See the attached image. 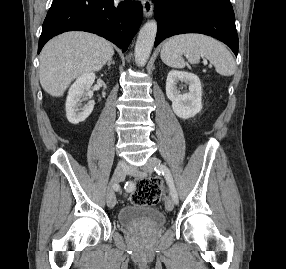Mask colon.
<instances>
[{
	"mask_svg": "<svg viewBox=\"0 0 286 269\" xmlns=\"http://www.w3.org/2000/svg\"><path fill=\"white\" fill-rule=\"evenodd\" d=\"M136 191L130 196L134 204L151 206L158 202L160 196V184L157 179H140L136 183Z\"/></svg>",
	"mask_w": 286,
	"mask_h": 269,
	"instance_id": "colon-1",
	"label": "colon"
}]
</instances>
